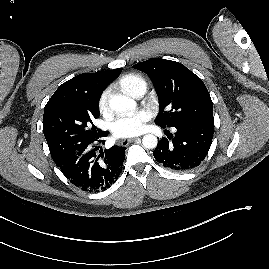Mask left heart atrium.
Wrapping results in <instances>:
<instances>
[{
    "mask_svg": "<svg viewBox=\"0 0 269 269\" xmlns=\"http://www.w3.org/2000/svg\"><path fill=\"white\" fill-rule=\"evenodd\" d=\"M149 118L150 115L146 111H140L133 116L120 118L113 124V134L117 138L138 135L143 131L144 124Z\"/></svg>",
    "mask_w": 269,
    "mask_h": 269,
    "instance_id": "39dd6f15",
    "label": "left heart atrium"
}]
</instances>
